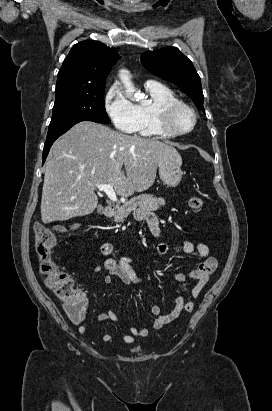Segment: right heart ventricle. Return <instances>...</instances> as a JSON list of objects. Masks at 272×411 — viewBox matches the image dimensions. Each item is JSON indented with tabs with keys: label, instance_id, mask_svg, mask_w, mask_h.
Returning <instances> with one entry per match:
<instances>
[{
	"label": "right heart ventricle",
	"instance_id": "right-heart-ventricle-1",
	"mask_svg": "<svg viewBox=\"0 0 272 411\" xmlns=\"http://www.w3.org/2000/svg\"><path fill=\"white\" fill-rule=\"evenodd\" d=\"M145 88L150 96V101L136 105L137 125L135 132L144 137L166 138L167 136L157 125L156 109L166 102L180 99L170 88L160 83L148 82Z\"/></svg>",
	"mask_w": 272,
	"mask_h": 411
}]
</instances>
